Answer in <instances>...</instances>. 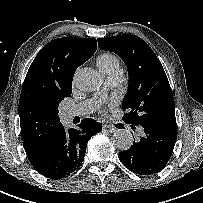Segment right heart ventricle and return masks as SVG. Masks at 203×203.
<instances>
[{"instance_id": "1", "label": "right heart ventricle", "mask_w": 203, "mask_h": 203, "mask_svg": "<svg viewBox=\"0 0 203 203\" xmlns=\"http://www.w3.org/2000/svg\"><path fill=\"white\" fill-rule=\"evenodd\" d=\"M100 72L108 77H116L120 73V60L112 53H102L96 59Z\"/></svg>"}]
</instances>
